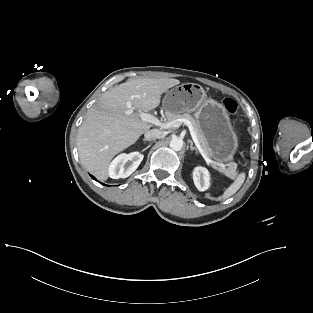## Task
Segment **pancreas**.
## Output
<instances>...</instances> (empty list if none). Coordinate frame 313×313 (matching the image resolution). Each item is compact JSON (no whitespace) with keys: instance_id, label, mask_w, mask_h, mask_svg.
<instances>
[{"instance_id":"cf45deb5","label":"pancreas","mask_w":313,"mask_h":313,"mask_svg":"<svg viewBox=\"0 0 313 313\" xmlns=\"http://www.w3.org/2000/svg\"><path fill=\"white\" fill-rule=\"evenodd\" d=\"M179 118H184V119H188L193 127L194 130L196 132V136L199 140V143L202 147V149L204 150V152L210 156V148L208 147V145L205 142L204 136L202 134L201 128L199 126V124L197 123V121L195 120V118L193 116H191L188 113H184V114H175V115H167V121H171V120H175V119H179ZM229 168H225L224 166H218L216 167L221 173L225 174L226 176L230 177V178H234L236 176V168L237 165L234 162H230L228 164Z\"/></svg>"}]
</instances>
